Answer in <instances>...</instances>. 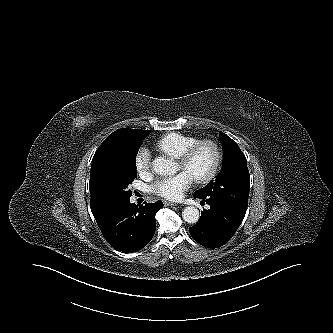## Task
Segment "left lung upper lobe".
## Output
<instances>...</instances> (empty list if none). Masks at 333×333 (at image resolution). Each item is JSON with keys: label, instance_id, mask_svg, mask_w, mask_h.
Wrapping results in <instances>:
<instances>
[{"label": "left lung upper lobe", "instance_id": "obj_1", "mask_svg": "<svg viewBox=\"0 0 333 333\" xmlns=\"http://www.w3.org/2000/svg\"><path fill=\"white\" fill-rule=\"evenodd\" d=\"M219 139L222 142L224 153L222 168L215 180L196 191L194 195L202 197L216 196L225 201L247 207L250 175L246 157L237 143L225 133H221Z\"/></svg>", "mask_w": 333, "mask_h": 333}]
</instances>
